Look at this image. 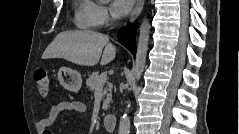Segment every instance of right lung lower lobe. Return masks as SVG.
<instances>
[{
  "mask_svg": "<svg viewBox=\"0 0 239 134\" xmlns=\"http://www.w3.org/2000/svg\"><path fill=\"white\" fill-rule=\"evenodd\" d=\"M136 26L128 24L125 28L119 30L118 40L124 45L135 57L136 56Z\"/></svg>",
  "mask_w": 239,
  "mask_h": 134,
  "instance_id": "1",
  "label": "right lung lower lobe"
}]
</instances>
